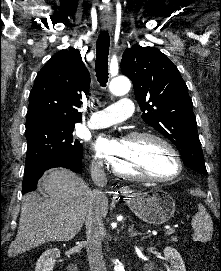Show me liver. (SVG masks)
<instances>
[{
  "instance_id": "liver-1",
  "label": "liver",
  "mask_w": 221,
  "mask_h": 271,
  "mask_svg": "<svg viewBox=\"0 0 221 271\" xmlns=\"http://www.w3.org/2000/svg\"><path fill=\"white\" fill-rule=\"evenodd\" d=\"M37 191L25 193L15 241L7 251L9 257L24 253L46 241H69L80 231L90 201V187L82 177L65 167H56L41 177ZM103 217L108 213V197L99 201Z\"/></svg>"
}]
</instances>
